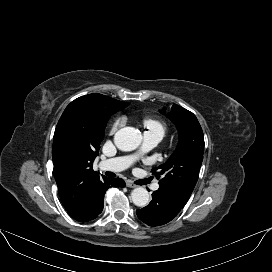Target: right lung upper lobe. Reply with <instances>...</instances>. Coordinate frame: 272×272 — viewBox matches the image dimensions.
Returning a JSON list of instances; mask_svg holds the SVG:
<instances>
[{"instance_id": "obj_1", "label": "right lung upper lobe", "mask_w": 272, "mask_h": 272, "mask_svg": "<svg viewBox=\"0 0 272 272\" xmlns=\"http://www.w3.org/2000/svg\"><path fill=\"white\" fill-rule=\"evenodd\" d=\"M128 104L101 94L72 101L60 117L54 133L52 158L61 201L74 219L85 216L107 180L92 168L100 148L99 116Z\"/></svg>"}]
</instances>
